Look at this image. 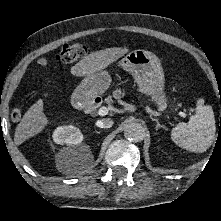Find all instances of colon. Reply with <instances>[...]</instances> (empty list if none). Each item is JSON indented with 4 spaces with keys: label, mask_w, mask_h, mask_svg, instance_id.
Returning a JSON list of instances; mask_svg holds the SVG:
<instances>
[{
    "label": "colon",
    "mask_w": 221,
    "mask_h": 221,
    "mask_svg": "<svg viewBox=\"0 0 221 221\" xmlns=\"http://www.w3.org/2000/svg\"><path fill=\"white\" fill-rule=\"evenodd\" d=\"M87 53L86 47L80 43H68L55 54V60L59 63H73L82 59ZM23 115L20 107H14L10 116L13 121H19Z\"/></svg>",
    "instance_id": "colon-1"
}]
</instances>
